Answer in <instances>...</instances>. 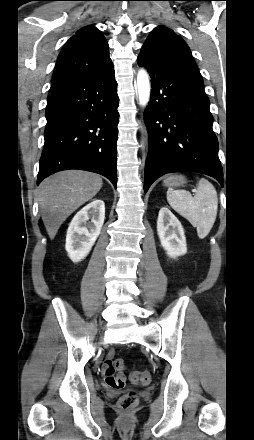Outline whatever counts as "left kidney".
Returning a JSON list of instances; mask_svg holds the SVG:
<instances>
[{
	"label": "left kidney",
	"instance_id": "1",
	"mask_svg": "<svg viewBox=\"0 0 254 440\" xmlns=\"http://www.w3.org/2000/svg\"><path fill=\"white\" fill-rule=\"evenodd\" d=\"M157 233L169 257L176 258L187 252L184 229L167 207H162L159 211Z\"/></svg>",
	"mask_w": 254,
	"mask_h": 440
}]
</instances>
